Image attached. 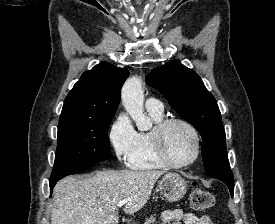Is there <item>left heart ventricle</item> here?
Wrapping results in <instances>:
<instances>
[{"mask_svg": "<svg viewBox=\"0 0 275 224\" xmlns=\"http://www.w3.org/2000/svg\"><path fill=\"white\" fill-rule=\"evenodd\" d=\"M164 145L167 155L175 163L189 161L195 152L193 135L181 124H172L167 128Z\"/></svg>", "mask_w": 275, "mask_h": 224, "instance_id": "obj_1", "label": "left heart ventricle"}]
</instances>
